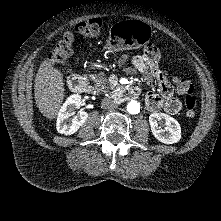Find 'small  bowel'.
<instances>
[{
  "mask_svg": "<svg viewBox=\"0 0 221 221\" xmlns=\"http://www.w3.org/2000/svg\"><path fill=\"white\" fill-rule=\"evenodd\" d=\"M153 48V45H149L144 49L142 55L131 58L127 54H123L119 58V65L128 73L138 70L145 75L148 81L157 83L158 90L148 92L146 97V106L149 110L164 109L171 115L178 114L181 110V102L174 96L170 83L147 54Z\"/></svg>",
  "mask_w": 221,
  "mask_h": 221,
  "instance_id": "c3829d8e",
  "label": "small bowel"
}]
</instances>
